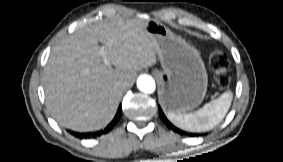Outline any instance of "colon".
I'll list each match as a JSON object with an SVG mask.
<instances>
[{"mask_svg": "<svg viewBox=\"0 0 283 162\" xmlns=\"http://www.w3.org/2000/svg\"><path fill=\"white\" fill-rule=\"evenodd\" d=\"M211 65L215 69V80L220 86H226L230 82L231 72L228 69L226 55L219 49L214 48L211 55Z\"/></svg>", "mask_w": 283, "mask_h": 162, "instance_id": "1", "label": "colon"}]
</instances>
